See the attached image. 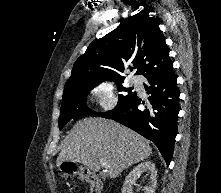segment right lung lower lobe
Returning a JSON list of instances; mask_svg holds the SVG:
<instances>
[{"label":"right lung lower lobe","mask_w":221,"mask_h":193,"mask_svg":"<svg viewBox=\"0 0 221 193\" xmlns=\"http://www.w3.org/2000/svg\"><path fill=\"white\" fill-rule=\"evenodd\" d=\"M144 84L150 105L139 109L142 100L135 95L114 110L99 113L115 120L151 140L169 165L177 134L179 91L173 68L146 77ZM144 103V102H143Z\"/></svg>","instance_id":"98d812e1"}]
</instances>
